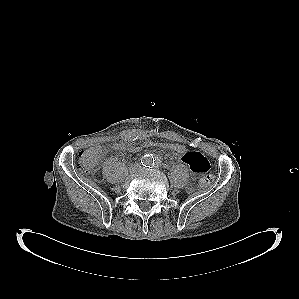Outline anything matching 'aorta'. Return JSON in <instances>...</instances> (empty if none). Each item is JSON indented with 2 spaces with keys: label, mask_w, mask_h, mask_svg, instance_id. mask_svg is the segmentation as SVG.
I'll return each mask as SVG.
<instances>
[{
  "label": "aorta",
  "mask_w": 299,
  "mask_h": 299,
  "mask_svg": "<svg viewBox=\"0 0 299 299\" xmlns=\"http://www.w3.org/2000/svg\"><path fill=\"white\" fill-rule=\"evenodd\" d=\"M143 163L147 166L154 164V157L150 154H147L143 158Z\"/></svg>",
  "instance_id": "aorta-1"
}]
</instances>
